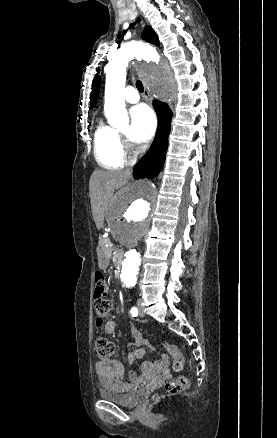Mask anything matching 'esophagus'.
I'll use <instances>...</instances> for the list:
<instances>
[{
	"instance_id": "obj_1",
	"label": "esophagus",
	"mask_w": 277,
	"mask_h": 438,
	"mask_svg": "<svg viewBox=\"0 0 277 438\" xmlns=\"http://www.w3.org/2000/svg\"><path fill=\"white\" fill-rule=\"evenodd\" d=\"M161 66L164 68V70L167 72L168 71V69H167V65H166V63L165 62H161ZM145 86V85H144ZM143 95H144V98H146L147 100H150L151 101V98H150V96H149V92H148V90H147V88H146V86H145V88H144V93H143Z\"/></svg>"
}]
</instances>
